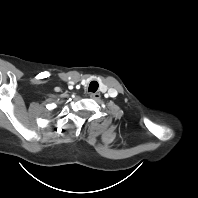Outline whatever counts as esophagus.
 Segmentation results:
<instances>
[{"label": "esophagus", "mask_w": 198, "mask_h": 198, "mask_svg": "<svg viewBox=\"0 0 198 198\" xmlns=\"http://www.w3.org/2000/svg\"><path fill=\"white\" fill-rule=\"evenodd\" d=\"M90 97L92 98V99H94V100H99L100 99V93H91L90 94Z\"/></svg>", "instance_id": "esophagus-1"}]
</instances>
